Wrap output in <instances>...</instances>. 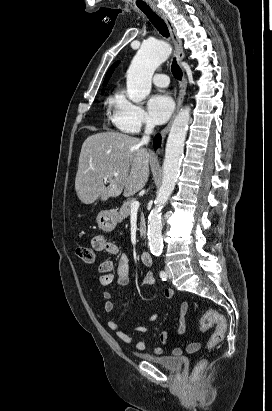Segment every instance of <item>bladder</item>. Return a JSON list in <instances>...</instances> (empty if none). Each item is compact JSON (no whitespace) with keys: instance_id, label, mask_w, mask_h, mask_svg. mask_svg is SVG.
Segmentation results:
<instances>
[{"instance_id":"bladder-1","label":"bladder","mask_w":272,"mask_h":411,"mask_svg":"<svg viewBox=\"0 0 272 411\" xmlns=\"http://www.w3.org/2000/svg\"><path fill=\"white\" fill-rule=\"evenodd\" d=\"M141 358L169 371H177L183 365V359L180 356L143 354Z\"/></svg>"}]
</instances>
